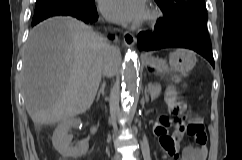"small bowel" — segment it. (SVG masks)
Segmentation results:
<instances>
[{
  "label": "small bowel",
  "instance_id": "obj_1",
  "mask_svg": "<svg viewBox=\"0 0 242 160\" xmlns=\"http://www.w3.org/2000/svg\"><path fill=\"white\" fill-rule=\"evenodd\" d=\"M186 119L189 120L186 121ZM198 125L203 126L198 118H192L189 113H185L182 117L169 124V126L173 127L172 133H169L167 129L161 133L155 131L163 160H205L207 138L201 141L199 132L189 134V131ZM185 133L194 138L197 146L184 147L181 156H179L180 143Z\"/></svg>",
  "mask_w": 242,
  "mask_h": 160
}]
</instances>
